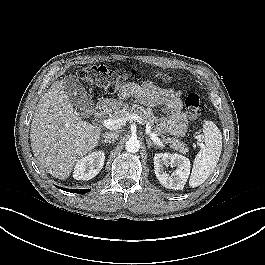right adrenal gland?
Returning <instances> with one entry per match:
<instances>
[{"label":"right adrenal gland","instance_id":"1","mask_svg":"<svg viewBox=\"0 0 265 265\" xmlns=\"http://www.w3.org/2000/svg\"><path fill=\"white\" fill-rule=\"evenodd\" d=\"M101 142L102 143H112L113 141H111V140H102Z\"/></svg>","mask_w":265,"mask_h":265}]
</instances>
